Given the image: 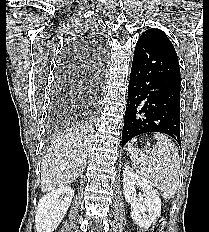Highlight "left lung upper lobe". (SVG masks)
Segmentation results:
<instances>
[{
	"label": "left lung upper lobe",
	"mask_w": 209,
	"mask_h": 232,
	"mask_svg": "<svg viewBox=\"0 0 209 232\" xmlns=\"http://www.w3.org/2000/svg\"><path fill=\"white\" fill-rule=\"evenodd\" d=\"M140 40H146V41H158L162 46L169 49L171 52L176 54V51L171 43V41L168 39L166 34L156 28L148 29L146 30L139 38Z\"/></svg>",
	"instance_id": "5c2ea615"
}]
</instances>
